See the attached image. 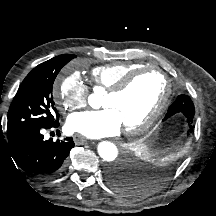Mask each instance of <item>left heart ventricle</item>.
Instances as JSON below:
<instances>
[{
  "instance_id": "obj_1",
  "label": "left heart ventricle",
  "mask_w": 216,
  "mask_h": 216,
  "mask_svg": "<svg viewBox=\"0 0 216 216\" xmlns=\"http://www.w3.org/2000/svg\"><path fill=\"white\" fill-rule=\"evenodd\" d=\"M164 89V80L157 72H145L123 94H106L102 105L117 113L124 128L132 127L143 121L158 106Z\"/></svg>"
}]
</instances>
